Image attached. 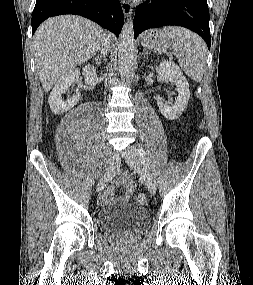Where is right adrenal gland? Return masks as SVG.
Returning <instances> with one entry per match:
<instances>
[{
	"instance_id": "2a0ac1e0",
	"label": "right adrenal gland",
	"mask_w": 253,
	"mask_h": 285,
	"mask_svg": "<svg viewBox=\"0 0 253 285\" xmlns=\"http://www.w3.org/2000/svg\"><path fill=\"white\" fill-rule=\"evenodd\" d=\"M92 57H93V59L95 60L96 65H98V66H99V65H101V64H102L101 57H99V56L95 57V54H93V55H92ZM103 61H106L105 56H103Z\"/></svg>"
}]
</instances>
